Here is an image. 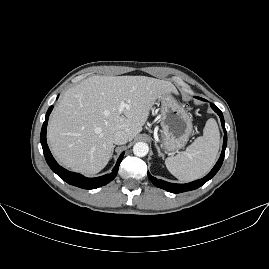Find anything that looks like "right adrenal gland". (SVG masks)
<instances>
[{"mask_svg":"<svg viewBox=\"0 0 269 269\" xmlns=\"http://www.w3.org/2000/svg\"><path fill=\"white\" fill-rule=\"evenodd\" d=\"M116 146L114 145L113 146V148H112V151H111V154H110V158H112V155H113V152H114V148H115Z\"/></svg>","mask_w":269,"mask_h":269,"instance_id":"1","label":"right adrenal gland"}]
</instances>
